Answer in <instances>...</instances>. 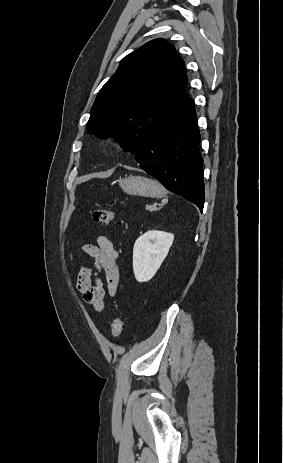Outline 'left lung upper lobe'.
Masks as SVG:
<instances>
[{
	"label": "left lung upper lobe",
	"mask_w": 283,
	"mask_h": 463,
	"mask_svg": "<svg viewBox=\"0 0 283 463\" xmlns=\"http://www.w3.org/2000/svg\"><path fill=\"white\" fill-rule=\"evenodd\" d=\"M184 62L174 46L155 39L130 53L99 91L87 131L99 138L118 134L124 151L136 154L151 135L184 109Z\"/></svg>",
	"instance_id": "1"
}]
</instances>
